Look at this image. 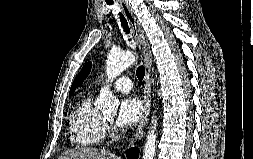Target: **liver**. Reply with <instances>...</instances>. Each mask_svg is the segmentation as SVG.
Wrapping results in <instances>:
<instances>
[{"label": "liver", "instance_id": "1", "mask_svg": "<svg viewBox=\"0 0 253 159\" xmlns=\"http://www.w3.org/2000/svg\"><path fill=\"white\" fill-rule=\"evenodd\" d=\"M59 159H120L104 149L78 147L64 152Z\"/></svg>", "mask_w": 253, "mask_h": 159}]
</instances>
